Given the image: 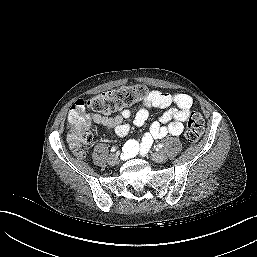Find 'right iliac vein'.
I'll return each instance as SVG.
<instances>
[{
	"mask_svg": "<svg viewBox=\"0 0 257 257\" xmlns=\"http://www.w3.org/2000/svg\"><path fill=\"white\" fill-rule=\"evenodd\" d=\"M109 163L115 164L119 161L118 154H111L108 159Z\"/></svg>",
	"mask_w": 257,
	"mask_h": 257,
	"instance_id": "63e3f726",
	"label": "right iliac vein"
}]
</instances>
